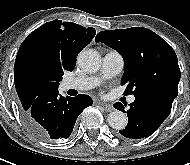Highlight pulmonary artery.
I'll list each match as a JSON object with an SVG mask.
<instances>
[{"mask_svg": "<svg viewBox=\"0 0 190 165\" xmlns=\"http://www.w3.org/2000/svg\"><path fill=\"white\" fill-rule=\"evenodd\" d=\"M123 66V57L116 51H109L103 56L101 70L98 76L68 78L64 81L63 86L66 90H90L96 87L103 79L118 75L122 71ZM134 101L135 97L133 95L129 96L128 102L133 103Z\"/></svg>", "mask_w": 190, "mask_h": 165, "instance_id": "obj_1", "label": "pulmonary artery"}]
</instances>
